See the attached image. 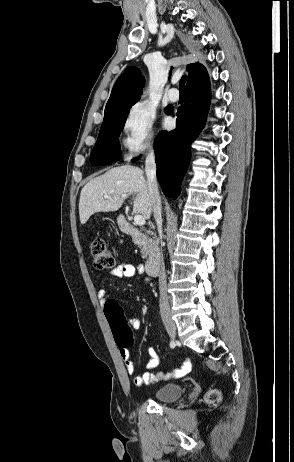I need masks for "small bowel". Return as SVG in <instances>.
Returning <instances> with one entry per match:
<instances>
[{
    "instance_id": "obj_1",
    "label": "small bowel",
    "mask_w": 294,
    "mask_h": 462,
    "mask_svg": "<svg viewBox=\"0 0 294 462\" xmlns=\"http://www.w3.org/2000/svg\"><path fill=\"white\" fill-rule=\"evenodd\" d=\"M142 271L141 265H136L132 262H125L118 265L116 268L111 270L110 275L114 277H133L137 273ZM109 296V292L106 289H100L98 291V297L102 301L104 305L106 302L107 297ZM130 325L134 329H139L142 325V321L140 318L135 317L129 320ZM148 355L150 357L149 361L146 365V371L143 374L135 375V366L131 359L130 351L127 347L119 346V353L120 357L126 367L127 372L129 375L133 376V383L137 387H141L145 384H150L162 380H166L168 378H181L186 375L190 369L191 364L188 360H186L181 367L175 369L172 373H167L165 371H158L156 373L151 372V370L155 369L159 364V357L156 351L152 347L147 348Z\"/></svg>"
}]
</instances>
